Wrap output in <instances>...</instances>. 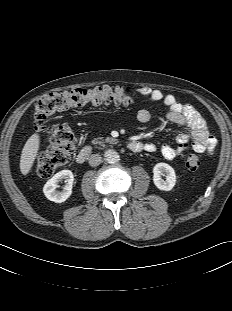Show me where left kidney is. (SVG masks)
Segmentation results:
<instances>
[{"instance_id": "1", "label": "left kidney", "mask_w": 232, "mask_h": 311, "mask_svg": "<svg viewBox=\"0 0 232 311\" xmlns=\"http://www.w3.org/2000/svg\"><path fill=\"white\" fill-rule=\"evenodd\" d=\"M162 176H165L166 180H163ZM153 182L160 190H172L176 184V174L174 169L167 163H157L153 167Z\"/></svg>"}]
</instances>
